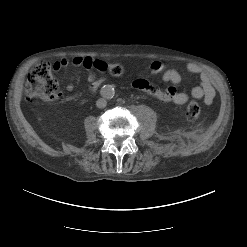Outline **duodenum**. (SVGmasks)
<instances>
[{"label": "duodenum", "instance_id": "duodenum-1", "mask_svg": "<svg viewBox=\"0 0 247 247\" xmlns=\"http://www.w3.org/2000/svg\"><path fill=\"white\" fill-rule=\"evenodd\" d=\"M103 80L99 79L96 82H94V88L97 89L101 84H102Z\"/></svg>", "mask_w": 247, "mask_h": 247}]
</instances>
